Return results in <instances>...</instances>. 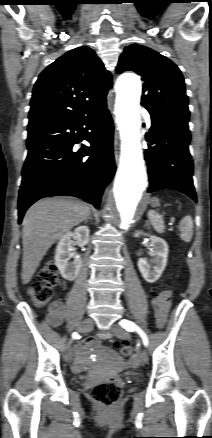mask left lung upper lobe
<instances>
[{
  "mask_svg": "<svg viewBox=\"0 0 212 438\" xmlns=\"http://www.w3.org/2000/svg\"><path fill=\"white\" fill-rule=\"evenodd\" d=\"M124 71L142 77V105L152 117L189 121L184 78L171 60L146 46L132 44L124 49L116 68L119 74Z\"/></svg>",
  "mask_w": 212,
  "mask_h": 438,
  "instance_id": "obj_1",
  "label": "left lung upper lobe"
}]
</instances>
